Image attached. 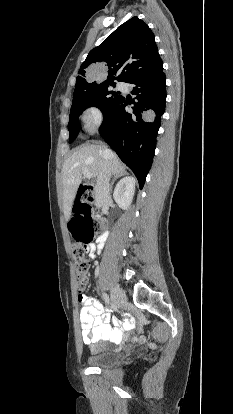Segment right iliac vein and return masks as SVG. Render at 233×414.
Returning <instances> with one entry per match:
<instances>
[{
	"label": "right iliac vein",
	"mask_w": 233,
	"mask_h": 414,
	"mask_svg": "<svg viewBox=\"0 0 233 414\" xmlns=\"http://www.w3.org/2000/svg\"><path fill=\"white\" fill-rule=\"evenodd\" d=\"M111 298L115 307L118 309L122 308L127 301L125 292L119 287H115L112 289Z\"/></svg>",
	"instance_id": "1"
}]
</instances>
